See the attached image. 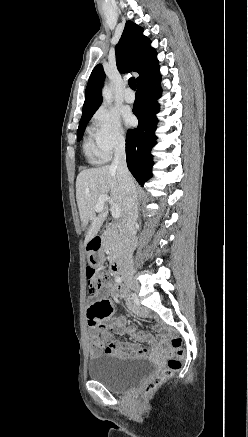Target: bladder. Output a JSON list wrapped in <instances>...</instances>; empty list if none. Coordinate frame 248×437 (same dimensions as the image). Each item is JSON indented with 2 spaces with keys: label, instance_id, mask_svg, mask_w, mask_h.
I'll return each instance as SVG.
<instances>
[{
  "label": "bladder",
  "instance_id": "1",
  "mask_svg": "<svg viewBox=\"0 0 248 437\" xmlns=\"http://www.w3.org/2000/svg\"><path fill=\"white\" fill-rule=\"evenodd\" d=\"M156 372V365L147 358L103 355L88 368V375L114 392H122L144 382Z\"/></svg>",
  "mask_w": 248,
  "mask_h": 437
}]
</instances>
